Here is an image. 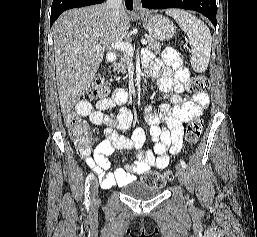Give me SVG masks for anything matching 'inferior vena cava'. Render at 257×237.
I'll return each instance as SVG.
<instances>
[{"label":"inferior vena cava","instance_id":"1","mask_svg":"<svg viewBox=\"0 0 257 237\" xmlns=\"http://www.w3.org/2000/svg\"><path fill=\"white\" fill-rule=\"evenodd\" d=\"M106 5L113 21L119 23L121 12L124 10L123 0H107Z\"/></svg>","mask_w":257,"mask_h":237}]
</instances>
